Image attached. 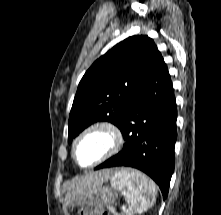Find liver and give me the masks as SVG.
<instances>
[{"mask_svg": "<svg viewBox=\"0 0 221 215\" xmlns=\"http://www.w3.org/2000/svg\"><path fill=\"white\" fill-rule=\"evenodd\" d=\"M115 172L113 170H102L95 173H90L82 177H77L72 179L70 182L66 183V188L69 189H82L91 186H95L98 184H103L107 181L111 176H113Z\"/></svg>", "mask_w": 221, "mask_h": 215, "instance_id": "6515ba94", "label": "liver"}]
</instances>
